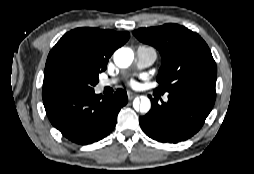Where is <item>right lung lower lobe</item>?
Wrapping results in <instances>:
<instances>
[{
    "mask_svg": "<svg viewBox=\"0 0 254 174\" xmlns=\"http://www.w3.org/2000/svg\"><path fill=\"white\" fill-rule=\"evenodd\" d=\"M51 124L70 141L85 145L107 136L115 127L117 114L127 104V93L96 95L94 90L65 94L44 100Z\"/></svg>",
    "mask_w": 254,
    "mask_h": 174,
    "instance_id": "obj_1",
    "label": "right lung lower lobe"
}]
</instances>
